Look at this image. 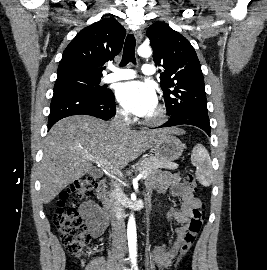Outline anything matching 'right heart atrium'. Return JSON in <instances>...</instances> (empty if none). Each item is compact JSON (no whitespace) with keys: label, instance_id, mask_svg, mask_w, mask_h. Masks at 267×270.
<instances>
[{"label":"right heart atrium","instance_id":"d8ad5b80","mask_svg":"<svg viewBox=\"0 0 267 270\" xmlns=\"http://www.w3.org/2000/svg\"><path fill=\"white\" fill-rule=\"evenodd\" d=\"M118 113L122 117H127V113L125 111H123V110H119Z\"/></svg>","mask_w":267,"mask_h":270}]
</instances>
